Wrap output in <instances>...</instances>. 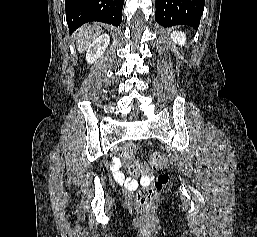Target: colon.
I'll return each mask as SVG.
<instances>
[{
    "label": "colon",
    "mask_w": 257,
    "mask_h": 237,
    "mask_svg": "<svg viewBox=\"0 0 257 237\" xmlns=\"http://www.w3.org/2000/svg\"><path fill=\"white\" fill-rule=\"evenodd\" d=\"M138 151L135 144H127L123 147L122 155L125 165L129 172L134 176H141L145 172V167L138 161L132 159V155ZM150 164L154 168H163L165 157L162 153L155 152L150 156ZM168 174L161 172L155 181L148 183L142 188L136 196V208L143 219H148L152 213L153 200L158 191H160L168 182Z\"/></svg>",
    "instance_id": "obj_1"
}]
</instances>
